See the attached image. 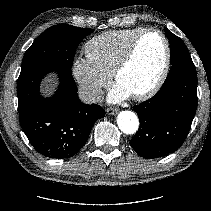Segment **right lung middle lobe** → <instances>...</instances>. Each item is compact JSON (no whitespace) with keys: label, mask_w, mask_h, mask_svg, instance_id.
Masks as SVG:
<instances>
[{"label":"right lung middle lobe","mask_w":211,"mask_h":211,"mask_svg":"<svg viewBox=\"0 0 211 211\" xmlns=\"http://www.w3.org/2000/svg\"><path fill=\"white\" fill-rule=\"evenodd\" d=\"M94 30L71 25H55L45 30L25 52L21 72L51 65L71 72L76 48Z\"/></svg>","instance_id":"1"}]
</instances>
